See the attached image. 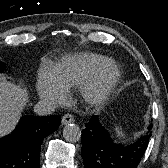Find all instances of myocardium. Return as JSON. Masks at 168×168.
<instances>
[{"label": "myocardium", "instance_id": "f54148a6", "mask_svg": "<svg viewBox=\"0 0 168 168\" xmlns=\"http://www.w3.org/2000/svg\"><path fill=\"white\" fill-rule=\"evenodd\" d=\"M121 69L112 60H107L94 75L80 87L81 97L90 108L102 107L117 86Z\"/></svg>", "mask_w": 168, "mask_h": 168}]
</instances>
